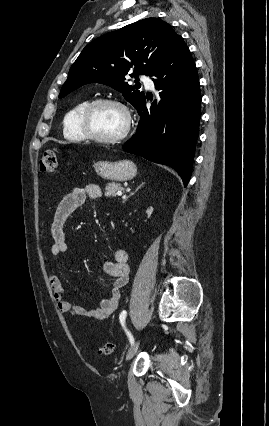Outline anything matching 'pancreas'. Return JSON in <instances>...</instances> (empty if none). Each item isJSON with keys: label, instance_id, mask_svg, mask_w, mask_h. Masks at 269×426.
<instances>
[{"label": "pancreas", "instance_id": "obj_1", "mask_svg": "<svg viewBox=\"0 0 269 426\" xmlns=\"http://www.w3.org/2000/svg\"><path fill=\"white\" fill-rule=\"evenodd\" d=\"M123 187L120 184L108 183L105 187L106 197H116L117 192L121 191Z\"/></svg>", "mask_w": 269, "mask_h": 426}]
</instances>
